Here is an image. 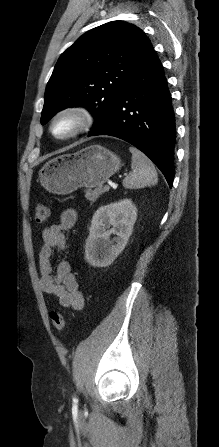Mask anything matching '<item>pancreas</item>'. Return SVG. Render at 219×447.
<instances>
[{
    "label": "pancreas",
    "mask_w": 219,
    "mask_h": 447,
    "mask_svg": "<svg viewBox=\"0 0 219 447\" xmlns=\"http://www.w3.org/2000/svg\"><path fill=\"white\" fill-rule=\"evenodd\" d=\"M102 193H104V190L101 187H97L94 190L87 189L85 191V197L87 198V200L95 202L100 197V195H102Z\"/></svg>",
    "instance_id": "1"
}]
</instances>
